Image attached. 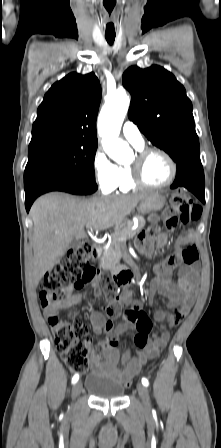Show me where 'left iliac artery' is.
Wrapping results in <instances>:
<instances>
[{
	"label": "left iliac artery",
	"instance_id": "1",
	"mask_svg": "<svg viewBox=\"0 0 221 448\" xmlns=\"http://www.w3.org/2000/svg\"><path fill=\"white\" fill-rule=\"evenodd\" d=\"M142 384L147 387L149 385V382L146 378H142Z\"/></svg>",
	"mask_w": 221,
	"mask_h": 448
}]
</instances>
